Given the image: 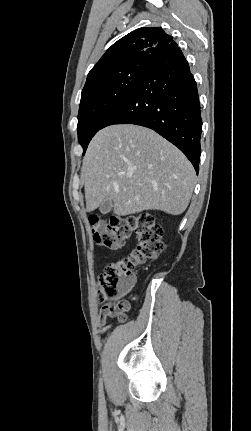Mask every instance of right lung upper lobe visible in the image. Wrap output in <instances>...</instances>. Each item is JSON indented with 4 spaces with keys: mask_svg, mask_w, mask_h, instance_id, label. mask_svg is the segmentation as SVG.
<instances>
[{
    "mask_svg": "<svg viewBox=\"0 0 251 431\" xmlns=\"http://www.w3.org/2000/svg\"><path fill=\"white\" fill-rule=\"evenodd\" d=\"M180 50L161 28H139L114 43L90 70L85 87L134 62H147L151 54Z\"/></svg>",
    "mask_w": 251,
    "mask_h": 431,
    "instance_id": "obj_1",
    "label": "right lung upper lobe"
}]
</instances>
